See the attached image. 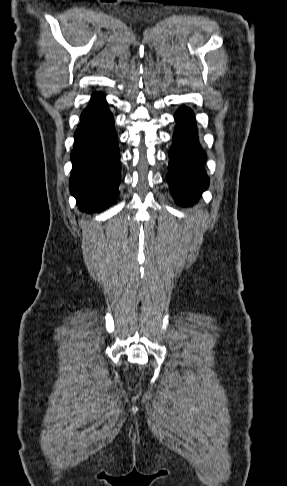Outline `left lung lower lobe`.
Instances as JSON below:
<instances>
[{
	"mask_svg": "<svg viewBox=\"0 0 287 486\" xmlns=\"http://www.w3.org/2000/svg\"><path fill=\"white\" fill-rule=\"evenodd\" d=\"M175 120L177 125L169 151L167 180L178 204L193 205L209 184L204 170L206 154L198 141L193 111L181 107Z\"/></svg>",
	"mask_w": 287,
	"mask_h": 486,
	"instance_id": "left-lung-lower-lobe-1",
	"label": "left lung lower lobe"
}]
</instances>
